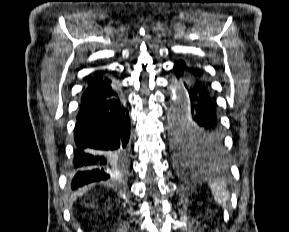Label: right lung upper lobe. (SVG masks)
<instances>
[{"mask_svg":"<svg viewBox=\"0 0 289 232\" xmlns=\"http://www.w3.org/2000/svg\"><path fill=\"white\" fill-rule=\"evenodd\" d=\"M119 94V90L107 77L97 75L89 80V86L84 92L81 102H91L106 99Z\"/></svg>","mask_w":289,"mask_h":232,"instance_id":"obj_1","label":"right lung upper lobe"}]
</instances>
